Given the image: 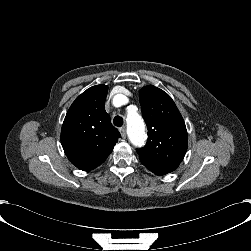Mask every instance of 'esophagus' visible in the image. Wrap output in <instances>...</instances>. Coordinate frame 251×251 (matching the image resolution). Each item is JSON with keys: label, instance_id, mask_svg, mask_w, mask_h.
I'll use <instances>...</instances> for the list:
<instances>
[{"label": "esophagus", "instance_id": "esophagus-1", "mask_svg": "<svg viewBox=\"0 0 251 251\" xmlns=\"http://www.w3.org/2000/svg\"><path fill=\"white\" fill-rule=\"evenodd\" d=\"M120 134L122 136L123 139H125L127 137V133H126V128L123 127L120 129Z\"/></svg>", "mask_w": 251, "mask_h": 251}]
</instances>
